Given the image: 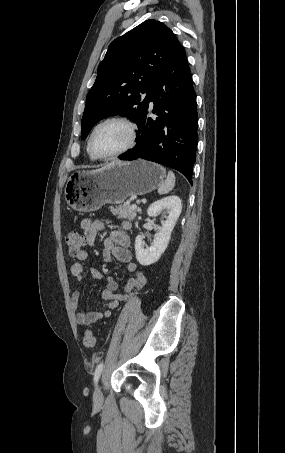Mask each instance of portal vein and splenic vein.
<instances>
[{"instance_id": "portal-vein-and-splenic-vein-1", "label": "portal vein and splenic vein", "mask_w": 285, "mask_h": 453, "mask_svg": "<svg viewBox=\"0 0 285 453\" xmlns=\"http://www.w3.org/2000/svg\"><path fill=\"white\" fill-rule=\"evenodd\" d=\"M131 208H132V209H136V208H137V205H136V204H133V205L131 206Z\"/></svg>"}]
</instances>
